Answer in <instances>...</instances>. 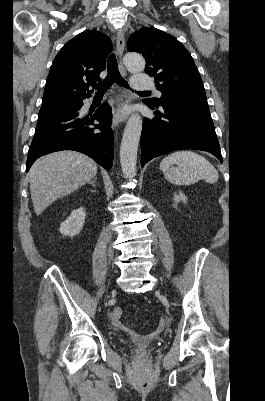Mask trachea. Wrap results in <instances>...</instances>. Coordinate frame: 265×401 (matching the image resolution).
I'll return each instance as SVG.
<instances>
[{
  "instance_id": "3493384b",
  "label": "trachea",
  "mask_w": 265,
  "mask_h": 401,
  "mask_svg": "<svg viewBox=\"0 0 265 401\" xmlns=\"http://www.w3.org/2000/svg\"><path fill=\"white\" fill-rule=\"evenodd\" d=\"M107 70L108 74L106 78L102 82L96 83L94 85V88L95 90H97V93L106 92L111 87V85H113V83H116L121 87L130 88L127 81L124 80V78H122L119 72L118 63L114 54H111L108 58ZM139 93H151V92L147 91Z\"/></svg>"
}]
</instances>
